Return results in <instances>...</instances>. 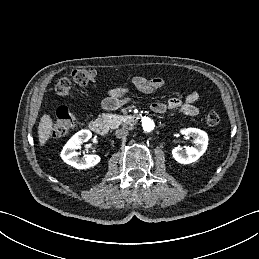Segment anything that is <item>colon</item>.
<instances>
[{"mask_svg": "<svg viewBox=\"0 0 259 259\" xmlns=\"http://www.w3.org/2000/svg\"><path fill=\"white\" fill-rule=\"evenodd\" d=\"M96 71L92 69H76L61 78L56 86L55 91L61 97H68L72 93L74 85L86 86L95 81ZM57 121L51 128V135L54 138L65 136L75 125L77 117L73 110L62 106L57 110ZM220 122V116L217 112L211 111L206 116V123L209 126H216Z\"/></svg>", "mask_w": 259, "mask_h": 259, "instance_id": "obj_1", "label": "colon"}]
</instances>
